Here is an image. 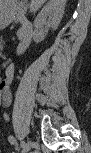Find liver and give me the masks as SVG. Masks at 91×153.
I'll return each instance as SVG.
<instances>
[{
	"label": "liver",
	"mask_w": 91,
	"mask_h": 153,
	"mask_svg": "<svg viewBox=\"0 0 91 153\" xmlns=\"http://www.w3.org/2000/svg\"><path fill=\"white\" fill-rule=\"evenodd\" d=\"M44 2L45 0H31L30 10L32 12H36L43 5Z\"/></svg>",
	"instance_id": "6515ba94"
}]
</instances>
